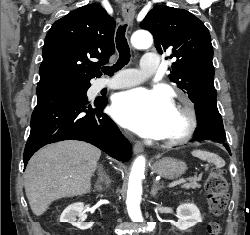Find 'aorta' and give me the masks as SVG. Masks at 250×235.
I'll list each match as a JSON object with an SVG mask.
<instances>
[{
  "label": "aorta",
  "instance_id": "aorta-1",
  "mask_svg": "<svg viewBox=\"0 0 250 235\" xmlns=\"http://www.w3.org/2000/svg\"><path fill=\"white\" fill-rule=\"evenodd\" d=\"M131 43L135 48L147 49L153 43L152 35L148 31H137L131 37ZM145 171V158L139 156L135 159L131 173L129 176L128 190H127V210L133 222H142L143 217L140 210V202L142 196V178ZM155 222L148 223L147 230L153 231Z\"/></svg>",
  "mask_w": 250,
  "mask_h": 235
}]
</instances>
